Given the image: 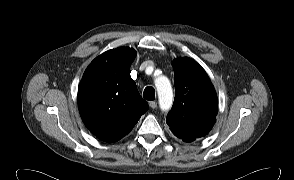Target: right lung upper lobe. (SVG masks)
Listing matches in <instances>:
<instances>
[{
    "label": "right lung upper lobe",
    "instance_id": "1",
    "mask_svg": "<svg viewBox=\"0 0 294 180\" xmlns=\"http://www.w3.org/2000/svg\"><path fill=\"white\" fill-rule=\"evenodd\" d=\"M136 51L121 47L95 58L85 70L78 89V108L85 126L111 143L128 134L148 103L130 76Z\"/></svg>",
    "mask_w": 294,
    "mask_h": 180
}]
</instances>
